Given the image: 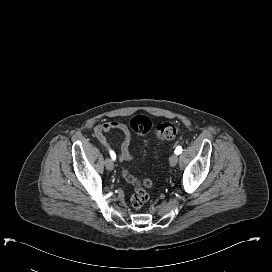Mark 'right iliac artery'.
<instances>
[{"mask_svg":"<svg viewBox=\"0 0 272 272\" xmlns=\"http://www.w3.org/2000/svg\"><path fill=\"white\" fill-rule=\"evenodd\" d=\"M110 156H111L112 160L116 159V154L112 150H110Z\"/></svg>","mask_w":272,"mask_h":272,"instance_id":"82829eb1","label":"right iliac artery"}]
</instances>
